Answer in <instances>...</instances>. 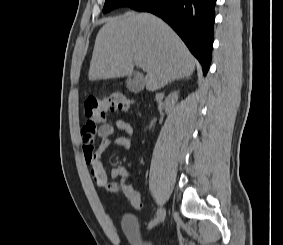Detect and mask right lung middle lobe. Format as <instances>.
Wrapping results in <instances>:
<instances>
[{
	"label": "right lung middle lobe",
	"instance_id": "obj_1",
	"mask_svg": "<svg viewBox=\"0 0 283 245\" xmlns=\"http://www.w3.org/2000/svg\"><path fill=\"white\" fill-rule=\"evenodd\" d=\"M141 0H106L103 8V12L107 13L115 8L122 6H133Z\"/></svg>",
	"mask_w": 283,
	"mask_h": 245
}]
</instances>
